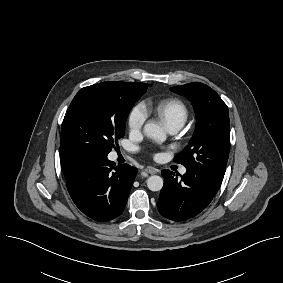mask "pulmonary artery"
I'll return each instance as SVG.
<instances>
[{
    "instance_id": "1",
    "label": "pulmonary artery",
    "mask_w": 283,
    "mask_h": 283,
    "mask_svg": "<svg viewBox=\"0 0 283 283\" xmlns=\"http://www.w3.org/2000/svg\"><path fill=\"white\" fill-rule=\"evenodd\" d=\"M180 128L181 127H179V126H171V127L168 128V131H169L170 134H175L180 130ZM185 172H186V169L181 168L180 173L184 174Z\"/></svg>"
}]
</instances>
